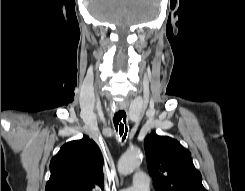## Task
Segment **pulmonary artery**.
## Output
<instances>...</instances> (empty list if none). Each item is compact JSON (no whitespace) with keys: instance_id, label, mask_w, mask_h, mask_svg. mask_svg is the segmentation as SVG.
Listing matches in <instances>:
<instances>
[{"instance_id":"1","label":"pulmonary artery","mask_w":245,"mask_h":191,"mask_svg":"<svg viewBox=\"0 0 245 191\" xmlns=\"http://www.w3.org/2000/svg\"><path fill=\"white\" fill-rule=\"evenodd\" d=\"M150 179L144 172H136L132 179V185L121 191H149Z\"/></svg>"}]
</instances>
